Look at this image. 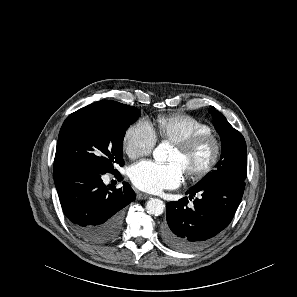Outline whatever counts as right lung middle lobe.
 <instances>
[{
	"label": "right lung middle lobe",
	"mask_w": 297,
	"mask_h": 297,
	"mask_svg": "<svg viewBox=\"0 0 297 297\" xmlns=\"http://www.w3.org/2000/svg\"><path fill=\"white\" fill-rule=\"evenodd\" d=\"M136 107L117 102L113 111L79 109L63 123L54 165L76 164L101 174L116 173L123 166V139L130 124L139 117Z\"/></svg>",
	"instance_id": "right-lung-middle-lobe-1"
}]
</instances>
